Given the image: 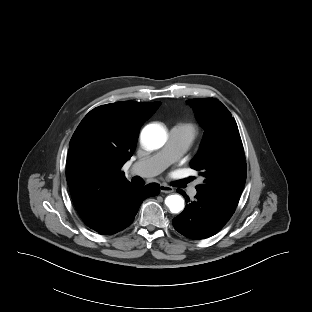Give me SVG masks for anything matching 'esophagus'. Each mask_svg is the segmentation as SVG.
Listing matches in <instances>:
<instances>
[{"instance_id": "1", "label": "esophagus", "mask_w": 312, "mask_h": 312, "mask_svg": "<svg viewBox=\"0 0 312 312\" xmlns=\"http://www.w3.org/2000/svg\"><path fill=\"white\" fill-rule=\"evenodd\" d=\"M160 191L162 193H172L174 191L173 187L165 185V184H161L160 185Z\"/></svg>"}]
</instances>
